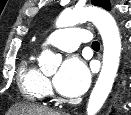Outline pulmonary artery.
<instances>
[{
	"label": "pulmonary artery",
	"instance_id": "e3ab8cb5",
	"mask_svg": "<svg viewBox=\"0 0 131 115\" xmlns=\"http://www.w3.org/2000/svg\"><path fill=\"white\" fill-rule=\"evenodd\" d=\"M90 43V34L80 27L59 29L52 32L45 40V45H52L64 51H74L80 44Z\"/></svg>",
	"mask_w": 131,
	"mask_h": 115
}]
</instances>
